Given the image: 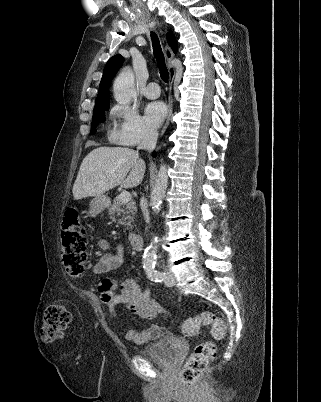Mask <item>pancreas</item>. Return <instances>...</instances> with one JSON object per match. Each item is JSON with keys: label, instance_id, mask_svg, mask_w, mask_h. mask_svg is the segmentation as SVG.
Returning a JSON list of instances; mask_svg holds the SVG:
<instances>
[{"label": "pancreas", "instance_id": "obj_1", "mask_svg": "<svg viewBox=\"0 0 321 402\" xmlns=\"http://www.w3.org/2000/svg\"><path fill=\"white\" fill-rule=\"evenodd\" d=\"M136 211V203L133 200L122 203L120 197L117 196L109 209V215L112 220H116V215L122 214V218L118 220V223L127 226V229L131 230Z\"/></svg>", "mask_w": 321, "mask_h": 402}]
</instances>
